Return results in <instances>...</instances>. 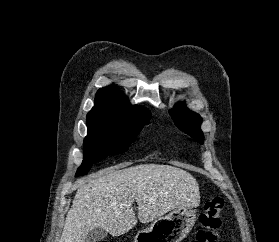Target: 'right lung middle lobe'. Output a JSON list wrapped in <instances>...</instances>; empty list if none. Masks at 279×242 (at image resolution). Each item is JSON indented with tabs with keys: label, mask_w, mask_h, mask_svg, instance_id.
Listing matches in <instances>:
<instances>
[{
	"label": "right lung middle lobe",
	"mask_w": 279,
	"mask_h": 242,
	"mask_svg": "<svg viewBox=\"0 0 279 242\" xmlns=\"http://www.w3.org/2000/svg\"><path fill=\"white\" fill-rule=\"evenodd\" d=\"M140 124L120 125L104 120H87L88 134L84 139V159L76 177L85 175L91 166L108 155H116L128 150V145L140 133Z\"/></svg>",
	"instance_id": "right-lung-middle-lobe-1"
}]
</instances>
